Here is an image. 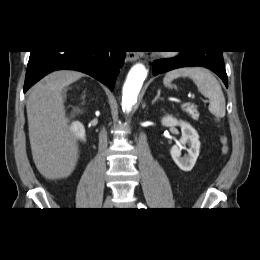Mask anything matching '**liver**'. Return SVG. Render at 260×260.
Instances as JSON below:
<instances>
[{"mask_svg":"<svg viewBox=\"0 0 260 260\" xmlns=\"http://www.w3.org/2000/svg\"><path fill=\"white\" fill-rule=\"evenodd\" d=\"M83 76L60 70L36 84L26 109L34 163L47 179L68 177L78 161V146L67 129L63 89Z\"/></svg>","mask_w":260,"mask_h":260,"instance_id":"liver-1","label":"liver"}]
</instances>
